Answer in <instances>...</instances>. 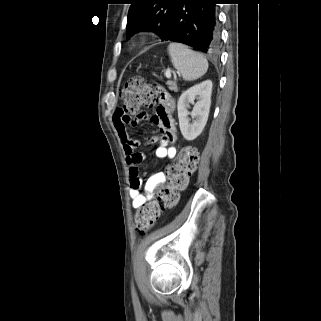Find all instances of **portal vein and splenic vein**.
<instances>
[{"instance_id": "18ae733b", "label": "portal vein and splenic vein", "mask_w": 321, "mask_h": 321, "mask_svg": "<svg viewBox=\"0 0 321 321\" xmlns=\"http://www.w3.org/2000/svg\"><path fill=\"white\" fill-rule=\"evenodd\" d=\"M178 75H180V74H178ZM165 76H166L167 78H170V77H171V71H170V70H166V71H165Z\"/></svg>"}]
</instances>
